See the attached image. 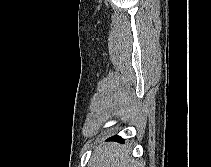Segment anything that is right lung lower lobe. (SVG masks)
<instances>
[{"instance_id":"1","label":"right lung lower lobe","mask_w":211,"mask_h":167,"mask_svg":"<svg viewBox=\"0 0 211 167\" xmlns=\"http://www.w3.org/2000/svg\"><path fill=\"white\" fill-rule=\"evenodd\" d=\"M110 140H116V141H119V142H123V139L120 136H117V135L110 138Z\"/></svg>"}]
</instances>
